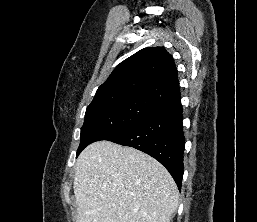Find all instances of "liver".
Here are the masks:
<instances>
[{
	"mask_svg": "<svg viewBox=\"0 0 257 222\" xmlns=\"http://www.w3.org/2000/svg\"><path fill=\"white\" fill-rule=\"evenodd\" d=\"M73 188L76 222H170L179 204L176 183L162 164L110 141L81 152Z\"/></svg>",
	"mask_w": 257,
	"mask_h": 222,
	"instance_id": "1",
	"label": "liver"
}]
</instances>
